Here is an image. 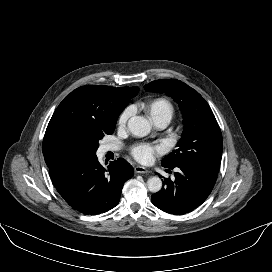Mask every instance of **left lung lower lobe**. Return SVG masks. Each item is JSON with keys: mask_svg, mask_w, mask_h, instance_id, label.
I'll list each match as a JSON object with an SVG mask.
<instances>
[{"mask_svg": "<svg viewBox=\"0 0 272 272\" xmlns=\"http://www.w3.org/2000/svg\"><path fill=\"white\" fill-rule=\"evenodd\" d=\"M176 169L175 180L165 179L164 187L152 195L151 201L166 213L182 215L193 211L207 199L217 177L186 165L176 166Z\"/></svg>", "mask_w": 272, "mask_h": 272, "instance_id": "obj_1", "label": "left lung lower lobe"}]
</instances>
